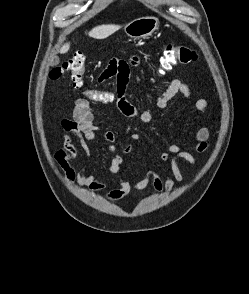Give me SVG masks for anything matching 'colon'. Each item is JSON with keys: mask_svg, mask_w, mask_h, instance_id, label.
<instances>
[{"mask_svg": "<svg viewBox=\"0 0 249 294\" xmlns=\"http://www.w3.org/2000/svg\"><path fill=\"white\" fill-rule=\"evenodd\" d=\"M196 59V51L187 46L166 45L159 59L160 72H169L176 66L189 64ZM127 69L128 65L125 60L114 58L103 72L107 76L112 75L116 77L124 74ZM64 75H68L73 86L84 91L90 99L99 102H106L109 100L110 94L108 92L87 90L85 88V55L82 52L75 53L61 67L54 69L50 73V78L52 80H57Z\"/></svg>", "mask_w": 249, "mask_h": 294, "instance_id": "1", "label": "colon"}]
</instances>
